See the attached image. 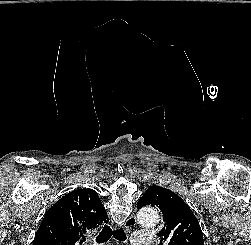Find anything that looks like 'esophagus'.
<instances>
[{"mask_svg":"<svg viewBox=\"0 0 251 245\" xmlns=\"http://www.w3.org/2000/svg\"><path fill=\"white\" fill-rule=\"evenodd\" d=\"M137 224V219L135 217V215H131L125 222L124 226L125 228L129 229L134 227Z\"/></svg>","mask_w":251,"mask_h":245,"instance_id":"obj_1","label":"esophagus"}]
</instances>
